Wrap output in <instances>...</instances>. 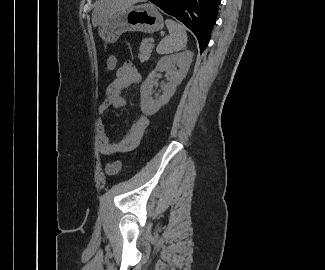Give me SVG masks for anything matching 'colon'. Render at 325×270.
Listing matches in <instances>:
<instances>
[{
    "instance_id": "5ec220e1",
    "label": "colon",
    "mask_w": 325,
    "mask_h": 270,
    "mask_svg": "<svg viewBox=\"0 0 325 270\" xmlns=\"http://www.w3.org/2000/svg\"><path fill=\"white\" fill-rule=\"evenodd\" d=\"M117 65H118L117 58L114 55H110L106 60V70L108 72H113L116 70ZM121 166L122 164L120 161H115L111 164H108L106 166V173L108 175H115L120 171Z\"/></svg>"
}]
</instances>
